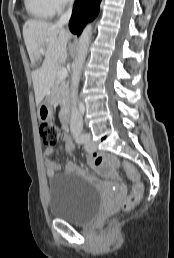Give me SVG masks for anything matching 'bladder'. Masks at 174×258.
Wrapping results in <instances>:
<instances>
[{"instance_id": "1", "label": "bladder", "mask_w": 174, "mask_h": 258, "mask_svg": "<svg viewBox=\"0 0 174 258\" xmlns=\"http://www.w3.org/2000/svg\"><path fill=\"white\" fill-rule=\"evenodd\" d=\"M102 197L98 189L79 173L54 175L49 183L48 210L57 218L84 224L98 216Z\"/></svg>"}]
</instances>
